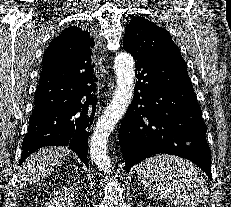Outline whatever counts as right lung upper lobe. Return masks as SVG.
I'll return each mask as SVG.
<instances>
[{
    "label": "right lung upper lobe",
    "mask_w": 231,
    "mask_h": 207,
    "mask_svg": "<svg viewBox=\"0 0 231 207\" xmlns=\"http://www.w3.org/2000/svg\"><path fill=\"white\" fill-rule=\"evenodd\" d=\"M93 46L94 40L87 31L75 26L66 28L49 44L43 55V65H61L69 72L76 71L81 69L76 66L78 63L87 62Z\"/></svg>",
    "instance_id": "right-lung-upper-lobe-1"
}]
</instances>
